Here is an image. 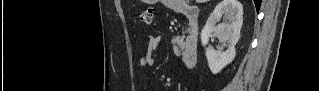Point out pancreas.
I'll use <instances>...</instances> for the list:
<instances>
[{"mask_svg": "<svg viewBox=\"0 0 319 91\" xmlns=\"http://www.w3.org/2000/svg\"><path fill=\"white\" fill-rule=\"evenodd\" d=\"M181 39L183 40V39H184V36H182Z\"/></svg>", "mask_w": 319, "mask_h": 91, "instance_id": "obj_1", "label": "pancreas"}]
</instances>
